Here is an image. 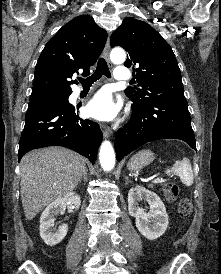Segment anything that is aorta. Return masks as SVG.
Listing matches in <instances>:
<instances>
[{
    "label": "aorta",
    "instance_id": "762f6f07",
    "mask_svg": "<svg viewBox=\"0 0 221 274\" xmlns=\"http://www.w3.org/2000/svg\"><path fill=\"white\" fill-rule=\"evenodd\" d=\"M111 61L121 64L126 60V54L121 48H114L110 54ZM99 161L105 171L113 169L115 165L114 149L109 141H104L100 147Z\"/></svg>",
    "mask_w": 221,
    "mask_h": 274
}]
</instances>
